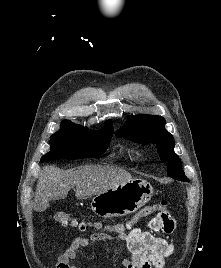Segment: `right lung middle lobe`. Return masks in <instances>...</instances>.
I'll return each mask as SVG.
<instances>
[{"label":"right lung middle lobe","mask_w":221,"mask_h":268,"mask_svg":"<svg viewBox=\"0 0 221 268\" xmlns=\"http://www.w3.org/2000/svg\"><path fill=\"white\" fill-rule=\"evenodd\" d=\"M112 134L113 129L110 127H103L100 131H92L69 120H64L61 123V129L50 138L51 151L44 155L41 160L100 156L106 151Z\"/></svg>","instance_id":"right-lung-middle-lobe-1"}]
</instances>
